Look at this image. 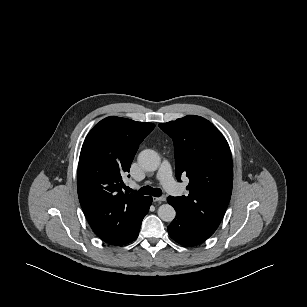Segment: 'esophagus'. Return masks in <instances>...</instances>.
I'll use <instances>...</instances> for the list:
<instances>
[{
	"mask_svg": "<svg viewBox=\"0 0 307 307\" xmlns=\"http://www.w3.org/2000/svg\"><path fill=\"white\" fill-rule=\"evenodd\" d=\"M165 200H166V197H165V196L153 197V201H154V202L161 203V202H164Z\"/></svg>",
	"mask_w": 307,
	"mask_h": 307,
	"instance_id": "esophagus-1",
	"label": "esophagus"
}]
</instances>
